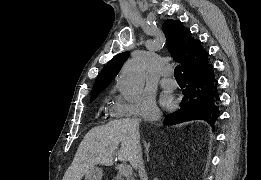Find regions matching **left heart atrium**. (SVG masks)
<instances>
[{"mask_svg": "<svg viewBox=\"0 0 261 180\" xmlns=\"http://www.w3.org/2000/svg\"><path fill=\"white\" fill-rule=\"evenodd\" d=\"M162 101H163V103H164L165 105H168L169 102H170L168 96H166V95H163V96H162Z\"/></svg>", "mask_w": 261, "mask_h": 180, "instance_id": "1", "label": "left heart atrium"}]
</instances>
